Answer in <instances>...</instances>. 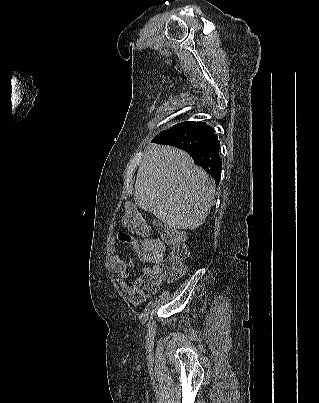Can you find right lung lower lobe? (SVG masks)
<instances>
[{"label":"right lung lower lobe","instance_id":"1","mask_svg":"<svg viewBox=\"0 0 319 403\" xmlns=\"http://www.w3.org/2000/svg\"><path fill=\"white\" fill-rule=\"evenodd\" d=\"M214 129L204 122L170 128L153 138L158 144L171 145L186 151L195 164L204 168L219 183L222 163L219 156L220 142Z\"/></svg>","mask_w":319,"mask_h":403}]
</instances>
